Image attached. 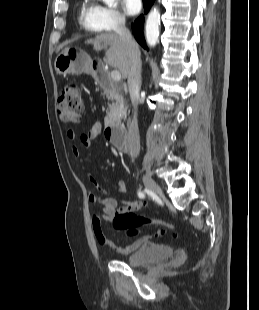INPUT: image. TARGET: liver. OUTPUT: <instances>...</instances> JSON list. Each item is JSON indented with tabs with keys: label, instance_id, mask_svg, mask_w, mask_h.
Returning <instances> with one entry per match:
<instances>
[{
	"label": "liver",
	"instance_id": "1",
	"mask_svg": "<svg viewBox=\"0 0 259 310\" xmlns=\"http://www.w3.org/2000/svg\"><path fill=\"white\" fill-rule=\"evenodd\" d=\"M86 43L92 44L96 51L109 47L106 51V63L117 68L123 79L128 77L130 64L129 51L118 34L103 33L97 35L94 39L87 40Z\"/></svg>",
	"mask_w": 259,
	"mask_h": 310
}]
</instances>
